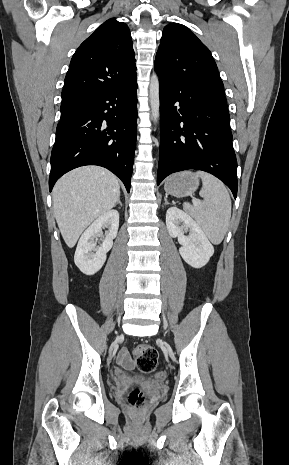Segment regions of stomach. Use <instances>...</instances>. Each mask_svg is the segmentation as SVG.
Listing matches in <instances>:
<instances>
[{
    "label": "stomach",
    "mask_w": 289,
    "mask_h": 465,
    "mask_svg": "<svg viewBox=\"0 0 289 465\" xmlns=\"http://www.w3.org/2000/svg\"><path fill=\"white\" fill-rule=\"evenodd\" d=\"M198 186V176L191 171H184L168 177L165 181L164 189L170 195L185 197L192 195Z\"/></svg>",
    "instance_id": "1"
}]
</instances>
